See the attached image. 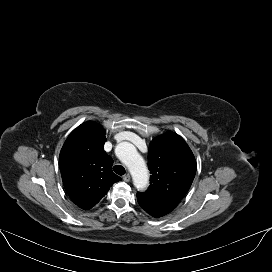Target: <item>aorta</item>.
Masks as SVG:
<instances>
[{"label":"aorta","instance_id":"762f6f07","mask_svg":"<svg viewBox=\"0 0 272 272\" xmlns=\"http://www.w3.org/2000/svg\"><path fill=\"white\" fill-rule=\"evenodd\" d=\"M120 155L132 175L133 184L137 189H143L148 184L149 174L144 159L132 144H124Z\"/></svg>","mask_w":272,"mask_h":272}]
</instances>
